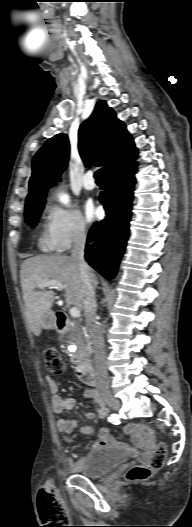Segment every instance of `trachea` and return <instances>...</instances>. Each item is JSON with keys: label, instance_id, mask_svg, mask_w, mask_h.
<instances>
[{"label": "trachea", "instance_id": "trachea-1", "mask_svg": "<svg viewBox=\"0 0 192 527\" xmlns=\"http://www.w3.org/2000/svg\"><path fill=\"white\" fill-rule=\"evenodd\" d=\"M95 179L97 181H103V171L102 169H99L95 172V175H94Z\"/></svg>", "mask_w": 192, "mask_h": 527}]
</instances>
